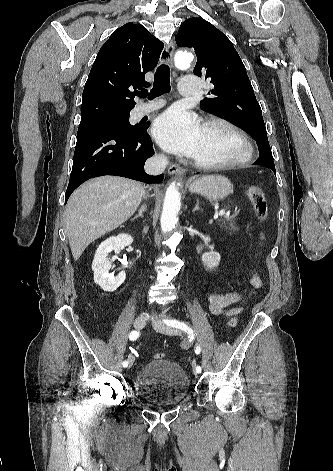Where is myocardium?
Returning a JSON list of instances; mask_svg holds the SVG:
<instances>
[{
	"label": "myocardium",
	"mask_w": 333,
	"mask_h": 471,
	"mask_svg": "<svg viewBox=\"0 0 333 471\" xmlns=\"http://www.w3.org/2000/svg\"><path fill=\"white\" fill-rule=\"evenodd\" d=\"M210 126H221L229 130L232 134H234L240 143V152L236 157L232 159L219 162H203L198 159H193V164L197 168L203 170L227 169L242 166L251 160L253 155V146L250 141V138L244 130H242L233 122L221 117H212L207 119L203 123L202 127Z\"/></svg>",
	"instance_id": "myocardium-1"
}]
</instances>
